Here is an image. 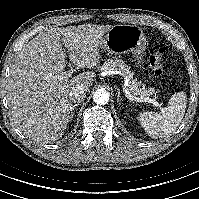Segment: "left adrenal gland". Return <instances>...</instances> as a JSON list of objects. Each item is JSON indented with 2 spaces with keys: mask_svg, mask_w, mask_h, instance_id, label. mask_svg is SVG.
Listing matches in <instances>:
<instances>
[{
  "mask_svg": "<svg viewBox=\"0 0 199 199\" xmlns=\"http://www.w3.org/2000/svg\"><path fill=\"white\" fill-rule=\"evenodd\" d=\"M122 98H121V94H120V90L119 88H117V102H121Z\"/></svg>",
  "mask_w": 199,
  "mask_h": 199,
  "instance_id": "obj_1",
  "label": "left adrenal gland"
}]
</instances>
